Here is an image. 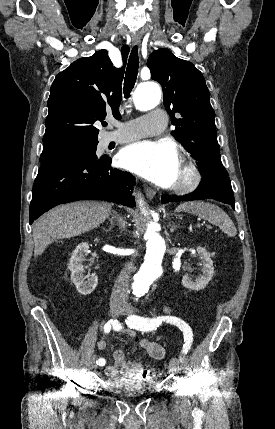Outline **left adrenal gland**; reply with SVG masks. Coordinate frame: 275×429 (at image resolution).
Returning <instances> with one entry per match:
<instances>
[{
  "mask_svg": "<svg viewBox=\"0 0 275 429\" xmlns=\"http://www.w3.org/2000/svg\"><path fill=\"white\" fill-rule=\"evenodd\" d=\"M169 226H171V228H170V232H174V230L176 229V228H178V226H176L174 223L171 225H169Z\"/></svg>",
  "mask_w": 275,
  "mask_h": 429,
  "instance_id": "1",
  "label": "left adrenal gland"
}]
</instances>
